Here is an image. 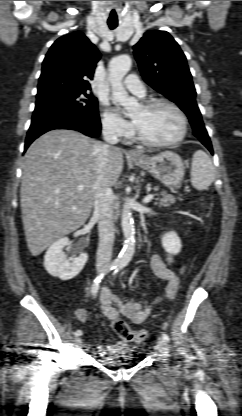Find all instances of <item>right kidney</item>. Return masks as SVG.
<instances>
[{"instance_id":"obj_1","label":"right kidney","mask_w":242,"mask_h":416,"mask_svg":"<svg viewBox=\"0 0 242 416\" xmlns=\"http://www.w3.org/2000/svg\"><path fill=\"white\" fill-rule=\"evenodd\" d=\"M68 243L67 237L57 240L49 247L44 257V267L47 272L61 280H70L77 276L88 260V255L85 252H80L79 256L67 258L63 248Z\"/></svg>"}]
</instances>
